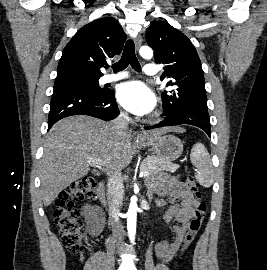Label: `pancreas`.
<instances>
[{
	"label": "pancreas",
	"instance_id": "obj_1",
	"mask_svg": "<svg viewBox=\"0 0 267 270\" xmlns=\"http://www.w3.org/2000/svg\"><path fill=\"white\" fill-rule=\"evenodd\" d=\"M177 168V165L156 156H147L140 164V170L147 172L149 175L160 171L175 172Z\"/></svg>",
	"mask_w": 267,
	"mask_h": 270
}]
</instances>
